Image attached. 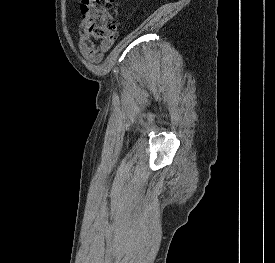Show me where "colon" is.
Wrapping results in <instances>:
<instances>
[{
	"instance_id": "5ec220e1",
	"label": "colon",
	"mask_w": 275,
	"mask_h": 263,
	"mask_svg": "<svg viewBox=\"0 0 275 263\" xmlns=\"http://www.w3.org/2000/svg\"><path fill=\"white\" fill-rule=\"evenodd\" d=\"M114 0H82V30L101 43H112L118 35L117 22L110 14Z\"/></svg>"
}]
</instances>
